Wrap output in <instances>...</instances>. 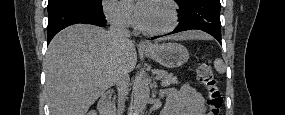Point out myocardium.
Segmentation results:
<instances>
[{
	"label": "myocardium",
	"instance_id": "1",
	"mask_svg": "<svg viewBox=\"0 0 285 115\" xmlns=\"http://www.w3.org/2000/svg\"><path fill=\"white\" fill-rule=\"evenodd\" d=\"M151 2H162V3H165L169 7L170 15H171V23L168 27L159 29V30H150V29L145 28L141 24L139 25L140 30L149 35H154V36L165 35V34L172 32L177 27L178 21H179V13H178L176 3L172 0H154Z\"/></svg>",
	"mask_w": 285,
	"mask_h": 115
}]
</instances>
